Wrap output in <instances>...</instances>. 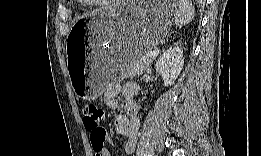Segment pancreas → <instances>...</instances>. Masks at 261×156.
I'll use <instances>...</instances> for the list:
<instances>
[{"mask_svg": "<svg viewBox=\"0 0 261 156\" xmlns=\"http://www.w3.org/2000/svg\"><path fill=\"white\" fill-rule=\"evenodd\" d=\"M150 51L142 55L130 68L126 71V76L140 75L152 63L153 59L148 57Z\"/></svg>", "mask_w": 261, "mask_h": 156, "instance_id": "obj_1", "label": "pancreas"}]
</instances>
